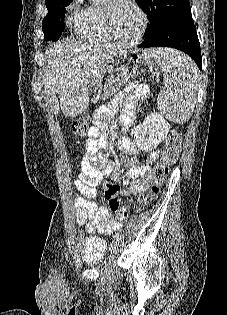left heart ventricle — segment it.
<instances>
[{
  "instance_id": "1",
  "label": "left heart ventricle",
  "mask_w": 227,
  "mask_h": 315,
  "mask_svg": "<svg viewBox=\"0 0 227 315\" xmlns=\"http://www.w3.org/2000/svg\"><path fill=\"white\" fill-rule=\"evenodd\" d=\"M112 21L114 30L122 40L133 39L141 27L140 15L126 3L118 4L115 7Z\"/></svg>"
}]
</instances>
